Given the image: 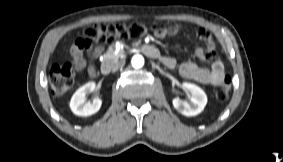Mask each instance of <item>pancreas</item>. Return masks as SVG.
Returning a JSON list of instances; mask_svg holds the SVG:
<instances>
[{
    "label": "pancreas",
    "instance_id": "cf45deb5",
    "mask_svg": "<svg viewBox=\"0 0 283 162\" xmlns=\"http://www.w3.org/2000/svg\"><path fill=\"white\" fill-rule=\"evenodd\" d=\"M124 51L120 50L117 54H114V50L112 48L108 49L107 53L104 55V59H118L119 57L123 56Z\"/></svg>",
    "mask_w": 283,
    "mask_h": 162
}]
</instances>
